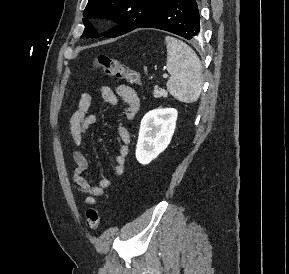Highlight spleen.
I'll use <instances>...</instances> for the list:
<instances>
[{"instance_id":"spleen-1","label":"spleen","mask_w":289,"mask_h":274,"mask_svg":"<svg viewBox=\"0 0 289 274\" xmlns=\"http://www.w3.org/2000/svg\"><path fill=\"white\" fill-rule=\"evenodd\" d=\"M167 45V71L170 78L167 90L177 100L192 103L202 91V66L196 53L183 41L165 37Z\"/></svg>"}]
</instances>
